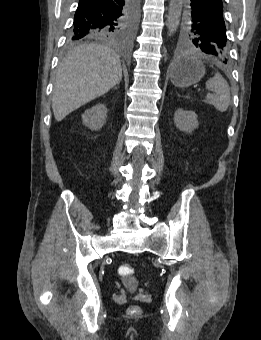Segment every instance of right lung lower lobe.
<instances>
[{
	"label": "right lung lower lobe",
	"mask_w": 261,
	"mask_h": 340,
	"mask_svg": "<svg viewBox=\"0 0 261 340\" xmlns=\"http://www.w3.org/2000/svg\"><path fill=\"white\" fill-rule=\"evenodd\" d=\"M130 0H79L73 29L82 31L101 22L119 16Z\"/></svg>",
	"instance_id": "98d812e1"
}]
</instances>
